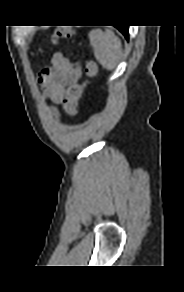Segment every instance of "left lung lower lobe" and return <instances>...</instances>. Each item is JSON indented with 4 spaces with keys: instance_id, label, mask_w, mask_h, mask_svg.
Returning a JSON list of instances; mask_svg holds the SVG:
<instances>
[{
    "instance_id": "0a47b994",
    "label": "left lung lower lobe",
    "mask_w": 184,
    "mask_h": 292,
    "mask_svg": "<svg viewBox=\"0 0 184 292\" xmlns=\"http://www.w3.org/2000/svg\"><path fill=\"white\" fill-rule=\"evenodd\" d=\"M120 32L128 39V26L117 27Z\"/></svg>"
}]
</instances>
